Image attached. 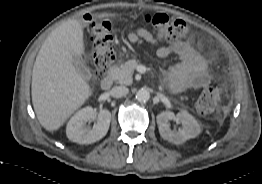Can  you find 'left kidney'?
Here are the masks:
<instances>
[{
  "mask_svg": "<svg viewBox=\"0 0 262 184\" xmlns=\"http://www.w3.org/2000/svg\"><path fill=\"white\" fill-rule=\"evenodd\" d=\"M156 119L161 137L174 144H181L198 136L201 132L199 123L187 111H181L177 115L169 111H164L159 113ZM169 120L181 122L183 126L182 129L178 131L171 130L168 123Z\"/></svg>",
  "mask_w": 262,
  "mask_h": 184,
  "instance_id": "obj_1",
  "label": "left kidney"
}]
</instances>
